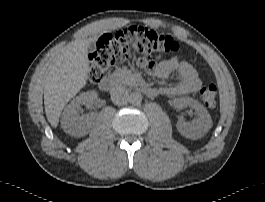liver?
<instances>
[{
	"instance_id": "1",
	"label": "liver",
	"mask_w": 265,
	"mask_h": 202,
	"mask_svg": "<svg viewBox=\"0 0 265 202\" xmlns=\"http://www.w3.org/2000/svg\"><path fill=\"white\" fill-rule=\"evenodd\" d=\"M96 38L76 40L65 46L51 66L44 88V106L48 122L56 128L66 104L86 85L88 45Z\"/></svg>"
}]
</instances>
